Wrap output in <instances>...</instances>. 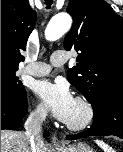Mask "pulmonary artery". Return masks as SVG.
<instances>
[{
	"mask_svg": "<svg viewBox=\"0 0 123 152\" xmlns=\"http://www.w3.org/2000/svg\"><path fill=\"white\" fill-rule=\"evenodd\" d=\"M67 55L63 51H55L52 53L50 63L34 62L29 64L24 72L32 76H44L47 75L52 67L62 66L67 62Z\"/></svg>",
	"mask_w": 123,
	"mask_h": 152,
	"instance_id": "obj_1",
	"label": "pulmonary artery"
}]
</instances>
